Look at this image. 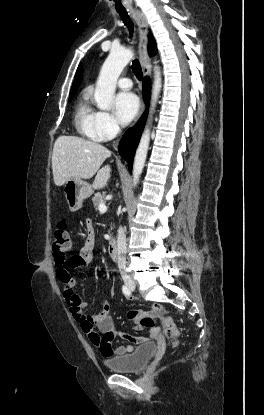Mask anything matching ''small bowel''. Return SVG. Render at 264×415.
<instances>
[{"label":"small bowel","instance_id":"1","mask_svg":"<svg viewBox=\"0 0 264 415\" xmlns=\"http://www.w3.org/2000/svg\"><path fill=\"white\" fill-rule=\"evenodd\" d=\"M87 225L88 236L85 244L81 247L77 255L63 264H57V277L63 284V299L69 307L71 316L79 323L81 330L95 345L98 346L104 357H121L133 352L134 346L141 345L148 339H155L158 336V329H152L148 339L116 330L113 319L109 315L110 305L107 302L102 303L101 313L94 314L88 312L87 305L81 301L79 295L75 291V282L71 275V272L74 269L88 267L94 260L95 232L91 221H88ZM71 290L72 293H69ZM151 312L155 315L162 314V311L157 307H153ZM137 318L138 314L136 312L129 311L127 313V321L130 324H133ZM97 329L105 333L103 338L99 336ZM133 329L141 331L143 328L140 325H135ZM116 337L126 340L129 343L126 346L120 345L113 349L111 347V341Z\"/></svg>","mask_w":264,"mask_h":415}]
</instances>
